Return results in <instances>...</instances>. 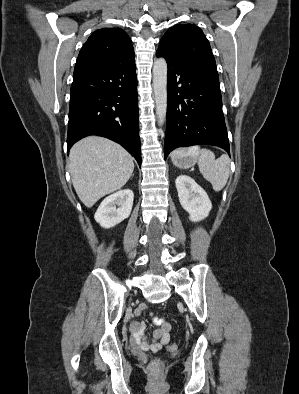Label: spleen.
Segmentation results:
<instances>
[{
  "label": "spleen",
  "mask_w": 299,
  "mask_h": 394,
  "mask_svg": "<svg viewBox=\"0 0 299 394\" xmlns=\"http://www.w3.org/2000/svg\"><path fill=\"white\" fill-rule=\"evenodd\" d=\"M189 152H197L198 166L203 177L212 184L214 191H221L226 185L230 173V159L228 155H222L215 159V155L208 149L193 147Z\"/></svg>",
  "instance_id": "obj_1"
}]
</instances>
